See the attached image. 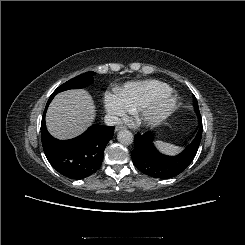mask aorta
Instances as JSON below:
<instances>
[{"mask_svg":"<svg viewBox=\"0 0 245 245\" xmlns=\"http://www.w3.org/2000/svg\"><path fill=\"white\" fill-rule=\"evenodd\" d=\"M117 139L123 145H130L132 144L134 138L133 134L129 130L123 129L118 132Z\"/></svg>","mask_w":245,"mask_h":245,"instance_id":"1","label":"aorta"}]
</instances>
